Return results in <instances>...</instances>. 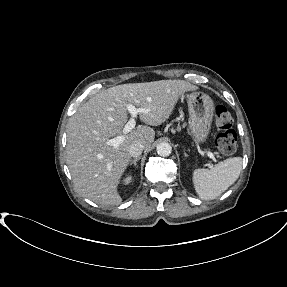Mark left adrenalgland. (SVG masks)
I'll return each instance as SVG.
<instances>
[{"mask_svg": "<svg viewBox=\"0 0 287 287\" xmlns=\"http://www.w3.org/2000/svg\"><path fill=\"white\" fill-rule=\"evenodd\" d=\"M184 154H185V157H187V156H188L186 153H184Z\"/></svg>", "mask_w": 287, "mask_h": 287, "instance_id": "obj_1", "label": "left adrenal gland"}]
</instances>
